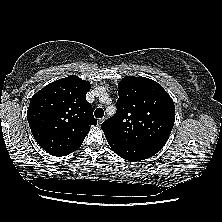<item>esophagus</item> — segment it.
<instances>
[{"instance_id":"esophagus-1","label":"esophagus","mask_w":222,"mask_h":222,"mask_svg":"<svg viewBox=\"0 0 222 222\" xmlns=\"http://www.w3.org/2000/svg\"><path fill=\"white\" fill-rule=\"evenodd\" d=\"M103 121H104V118L99 119V120H98V124H99V125L102 124Z\"/></svg>"}]
</instances>
